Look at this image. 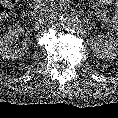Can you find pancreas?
<instances>
[{"mask_svg":"<svg viewBox=\"0 0 118 118\" xmlns=\"http://www.w3.org/2000/svg\"><path fill=\"white\" fill-rule=\"evenodd\" d=\"M34 1L36 7L41 9L44 13H48L52 10L53 4H50V0H34ZM85 8L87 9L88 14L94 17L97 23L101 24L105 28L111 26L112 14L110 12H105L92 1H87L85 3Z\"/></svg>","mask_w":118,"mask_h":118,"instance_id":"pancreas-1","label":"pancreas"}]
</instances>
